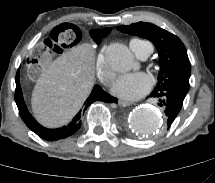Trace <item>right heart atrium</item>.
Segmentation results:
<instances>
[{
    "mask_svg": "<svg viewBox=\"0 0 215 183\" xmlns=\"http://www.w3.org/2000/svg\"><path fill=\"white\" fill-rule=\"evenodd\" d=\"M96 71L99 79L105 85H110L114 79L115 73L114 71L107 65L105 56L103 53L99 54L97 63H96Z\"/></svg>",
    "mask_w": 215,
    "mask_h": 183,
    "instance_id": "obj_1",
    "label": "right heart atrium"
}]
</instances>
